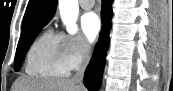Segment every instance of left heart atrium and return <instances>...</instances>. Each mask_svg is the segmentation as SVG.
I'll list each match as a JSON object with an SVG mask.
<instances>
[{"label":"left heart atrium","mask_w":173,"mask_h":91,"mask_svg":"<svg viewBox=\"0 0 173 91\" xmlns=\"http://www.w3.org/2000/svg\"><path fill=\"white\" fill-rule=\"evenodd\" d=\"M81 28L87 41L93 42L101 28L100 19L94 12H87L81 18Z\"/></svg>","instance_id":"left-heart-atrium-1"}]
</instances>
